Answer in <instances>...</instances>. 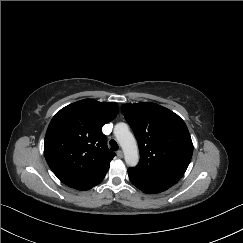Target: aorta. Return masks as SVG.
I'll use <instances>...</instances> for the list:
<instances>
[{
  "label": "aorta",
  "instance_id": "obj_1",
  "mask_svg": "<svg viewBox=\"0 0 243 243\" xmlns=\"http://www.w3.org/2000/svg\"><path fill=\"white\" fill-rule=\"evenodd\" d=\"M114 134L124 152L126 164L130 167L136 166L139 162L138 146L128 125L125 123L116 124Z\"/></svg>",
  "mask_w": 243,
  "mask_h": 243
}]
</instances>
